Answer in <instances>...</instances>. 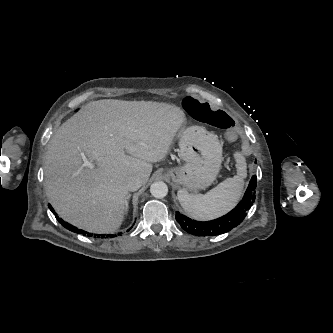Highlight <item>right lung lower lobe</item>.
I'll return each mask as SVG.
<instances>
[{
	"label": "right lung lower lobe",
	"mask_w": 333,
	"mask_h": 333,
	"mask_svg": "<svg viewBox=\"0 0 333 333\" xmlns=\"http://www.w3.org/2000/svg\"><path fill=\"white\" fill-rule=\"evenodd\" d=\"M48 206H49L50 210H51L54 214H56L55 211H54V209L52 208V206H51L50 204H49ZM56 218H57V219L59 220V222L63 225V227L67 228V229L70 230V231H73V232H76V233H80V234H82V235H84V236H88V237L93 236V234H91V233H88V232H86V231H84V230H79V229H77L75 226L70 225V224L64 222V221H63L61 218H59L58 216H56ZM120 234H121V233H119L118 235H120ZM94 237H97V238H108V237H110V238H112V237H115V235H112V234H95Z\"/></svg>",
	"instance_id": "obj_1"
}]
</instances>
